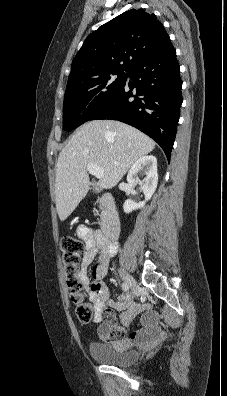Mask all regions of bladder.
Instances as JSON below:
<instances>
[{
  "instance_id": "1",
  "label": "bladder",
  "mask_w": 227,
  "mask_h": 396,
  "mask_svg": "<svg viewBox=\"0 0 227 396\" xmlns=\"http://www.w3.org/2000/svg\"><path fill=\"white\" fill-rule=\"evenodd\" d=\"M88 352L95 361L117 367L132 365L140 357L139 352L126 343L92 342L88 346Z\"/></svg>"
}]
</instances>
